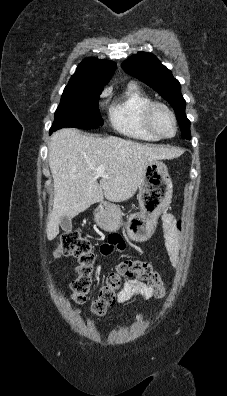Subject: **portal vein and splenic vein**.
<instances>
[{
    "instance_id": "18ae733b",
    "label": "portal vein and splenic vein",
    "mask_w": 227,
    "mask_h": 396,
    "mask_svg": "<svg viewBox=\"0 0 227 396\" xmlns=\"http://www.w3.org/2000/svg\"><path fill=\"white\" fill-rule=\"evenodd\" d=\"M97 173L99 176H103L104 173V165H101L97 168Z\"/></svg>"
}]
</instances>
